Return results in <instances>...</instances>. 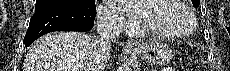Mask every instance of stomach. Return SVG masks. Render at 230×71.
Segmentation results:
<instances>
[{"mask_svg":"<svg viewBox=\"0 0 230 71\" xmlns=\"http://www.w3.org/2000/svg\"><path fill=\"white\" fill-rule=\"evenodd\" d=\"M142 59L153 64H166L172 59L171 49L166 44L154 43L132 50Z\"/></svg>","mask_w":230,"mask_h":71,"instance_id":"1","label":"stomach"}]
</instances>
